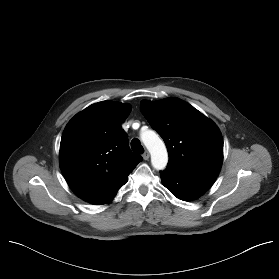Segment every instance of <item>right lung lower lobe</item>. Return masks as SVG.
Segmentation results:
<instances>
[{
	"label": "right lung lower lobe",
	"instance_id": "right-lung-lower-lobe-1",
	"mask_svg": "<svg viewBox=\"0 0 279 279\" xmlns=\"http://www.w3.org/2000/svg\"><path fill=\"white\" fill-rule=\"evenodd\" d=\"M118 190H116V191L112 192L111 194H109L107 196H104V197H102V198L92 202V204L102 205V204H106V203L111 202L114 199V197H115L116 193L118 192Z\"/></svg>",
	"mask_w": 279,
	"mask_h": 279
}]
</instances>
